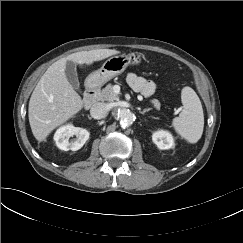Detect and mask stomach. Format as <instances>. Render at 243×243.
I'll return each instance as SVG.
<instances>
[{"instance_id":"stomach-1","label":"stomach","mask_w":243,"mask_h":243,"mask_svg":"<svg viewBox=\"0 0 243 243\" xmlns=\"http://www.w3.org/2000/svg\"><path fill=\"white\" fill-rule=\"evenodd\" d=\"M141 62L142 54L138 52L113 56L107 59L100 69L92 72L86 78V83L93 87L102 86L110 79L123 73L129 65H138Z\"/></svg>"}]
</instances>
